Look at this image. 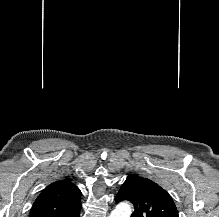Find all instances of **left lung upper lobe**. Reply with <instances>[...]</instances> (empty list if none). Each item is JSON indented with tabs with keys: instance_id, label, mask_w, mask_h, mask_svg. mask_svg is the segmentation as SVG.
Instances as JSON below:
<instances>
[{
	"instance_id": "left-lung-upper-lobe-1",
	"label": "left lung upper lobe",
	"mask_w": 219,
	"mask_h": 217,
	"mask_svg": "<svg viewBox=\"0 0 219 217\" xmlns=\"http://www.w3.org/2000/svg\"><path fill=\"white\" fill-rule=\"evenodd\" d=\"M129 200L134 205L131 217H179L171 196L150 179L130 175L122 184L115 201Z\"/></svg>"
}]
</instances>
